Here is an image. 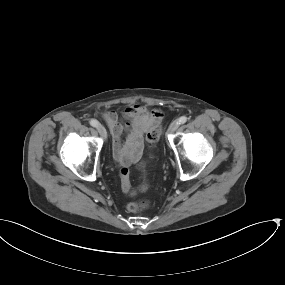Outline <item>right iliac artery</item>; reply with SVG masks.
Returning a JSON list of instances; mask_svg holds the SVG:
<instances>
[{"instance_id": "right-iliac-artery-1", "label": "right iliac artery", "mask_w": 285, "mask_h": 285, "mask_svg": "<svg viewBox=\"0 0 285 285\" xmlns=\"http://www.w3.org/2000/svg\"><path fill=\"white\" fill-rule=\"evenodd\" d=\"M89 123L93 127H97L99 125V122L95 119H91Z\"/></svg>"}]
</instances>
